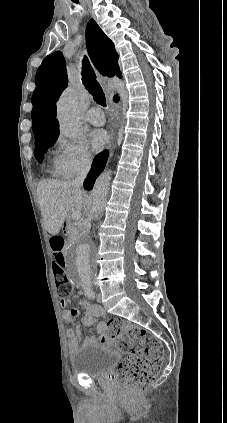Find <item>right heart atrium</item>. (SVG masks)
<instances>
[{"instance_id":"right-heart-atrium-1","label":"right heart atrium","mask_w":227,"mask_h":423,"mask_svg":"<svg viewBox=\"0 0 227 423\" xmlns=\"http://www.w3.org/2000/svg\"><path fill=\"white\" fill-rule=\"evenodd\" d=\"M56 168L65 178L88 172L94 157L82 139L67 140L60 137L56 143Z\"/></svg>"}]
</instances>
